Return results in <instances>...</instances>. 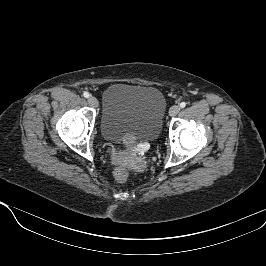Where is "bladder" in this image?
Segmentation results:
<instances>
[{"mask_svg": "<svg viewBox=\"0 0 266 266\" xmlns=\"http://www.w3.org/2000/svg\"><path fill=\"white\" fill-rule=\"evenodd\" d=\"M162 92L149 86L116 83L103 93L100 129L104 139L121 143L155 141L166 112Z\"/></svg>", "mask_w": 266, "mask_h": 266, "instance_id": "31cf9c89", "label": "bladder"}]
</instances>
